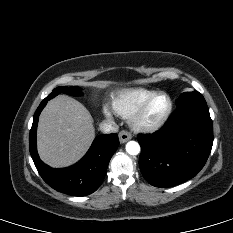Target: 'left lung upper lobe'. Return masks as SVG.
Instances as JSON below:
<instances>
[{
	"label": "left lung upper lobe",
	"mask_w": 233,
	"mask_h": 233,
	"mask_svg": "<svg viewBox=\"0 0 233 233\" xmlns=\"http://www.w3.org/2000/svg\"><path fill=\"white\" fill-rule=\"evenodd\" d=\"M189 101H205V99L202 96V94H200L198 91L185 92V93H182L179 99L176 101V105L178 107Z\"/></svg>",
	"instance_id": "left-lung-upper-lobe-1"
}]
</instances>
